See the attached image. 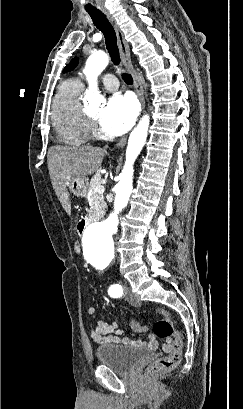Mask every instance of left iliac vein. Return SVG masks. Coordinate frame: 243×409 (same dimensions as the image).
Instances as JSON below:
<instances>
[{
	"instance_id": "obj_1",
	"label": "left iliac vein",
	"mask_w": 243,
	"mask_h": 409,
	"mask_svg": "<svg viewBox=\"0 0 243 409\" xmlns=\"http://www.w3.org/2000/svg\"><path fill=\"white\" fill-rule=\"evenodd\" d=\"M124 289V296L126 298V300L134 306H139L140 305V300L138 297H136L132 292L131 289L129 288L128 285H124L123 286Z\"/></svg>"
}]
</instances>
